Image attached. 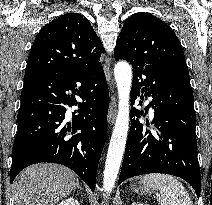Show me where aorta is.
<instances>
[{
  "mask_svg": "<svg viewBox=\"0 0 212 205\" xmlns=\"http://www.w3.org/2000/svg\"><path fill=\"white\" fill-rule=\"evenodd\" d=\"M114 76L118 90V114L110 139L103 177V189L111 192L115 185L129 130L130 90L132 83L131 66L120 61L114 68Z\"/></svg>",
  "mask_w": 212,
  "mask_h": 205,
  "instance_id": "aorta-1",
  "label": "aorta"
}]
</instances>
